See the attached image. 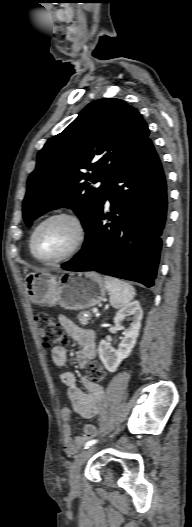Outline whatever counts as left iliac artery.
Wrapping results in <instances>:
<instances>
[{
	"instance_id": "44dca946",
	"label": "left iliac artery",
	"mask_w": 192,
	"mask_h": 527,
	"mask_svg": "<svg viewBox=\"0 0 192 527\" xmlns=\"http://www.w3.org/2000/svg\"><path fill=\"white\" fill-rule=\"evenodd\" d=\"M95 443H97V440H96V439L90 440V441H88V442L85 444L84 448H85V449H88L89 447L93 446Z\"/></svg>"
}]
</instances>
